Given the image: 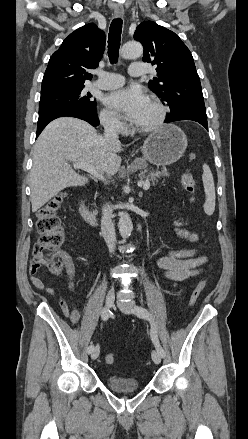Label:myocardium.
Segmentation results:
<instances>
[{
    "instance_id": "myocardium-1",
    "label": "myocardium",
    "mask_w": 248,
    "mask_h": 439,
    "mask_svg": "<svg viewBox=\"0 0 248 439\" xmlns=\"http://www.w3.org/2000/svg\"><path fill=\"white\" fill-rule=\"evenodd\" d=\"M149 102L152 103L156 107V109L158 111V115H157L156 119L148 125L139 126V125L135 124L133 126V129L136 132L150 133V132L156 131L163 126V124L166 120V117H167L166 106L156 97L149 98Z\"/></svg>"
}]
</instances>
